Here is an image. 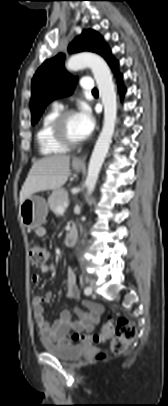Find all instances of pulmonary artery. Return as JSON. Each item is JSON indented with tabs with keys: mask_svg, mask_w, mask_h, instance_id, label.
Segmentation results:
<instances>
[{
	"mask_svg": "<svg viewBox=\"0 0 168 406\" xmlns=\"http://www.w3.org/2000/svg\"><path fill=\"white\" fill-rule=\"evenodd\" d=\"M81 87H82V89L87 90V91L93 90L94 83H93L92 78H90V77H83V78L81 79ZM53 105H54V107H58V108L61 107V104H59V103L56 102V101L53 103Z\"/></svg>",
	"mask_w": 168,
	"mask_h": 406,
	"instance_id": "obj_1",
	"label": "pulmonary artery"
}]
</instances>
